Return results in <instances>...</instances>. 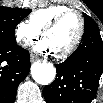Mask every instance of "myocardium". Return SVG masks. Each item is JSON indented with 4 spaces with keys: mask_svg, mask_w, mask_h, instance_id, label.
<instances>
[{
    "mask_svg": "<svg viewBox=\"0 0 103 103\" xmlns=\"http://www.w3.org/2000/svg\"><path fill=\"white\" fill-rule=\"evenodd\" d=\"M70 15H76L78 17L79 30H78V33L75 39L67 48H65L64 50L60 52L53 53V55L58 59H63L71 55L76 50V48L79 46L80 42L82 41V38L85 33V19H84L83 14L76 9H72V8L68 9L60 13L58 16H56L41 30V34L42 36H44L46 33L56 28L66 17Z\"/></svg>",
    "mask_w": 103,
    "mask_h": 103,
    "instance_id": "f54148a6",
    "label": "myocardium"
}]
</instances>
